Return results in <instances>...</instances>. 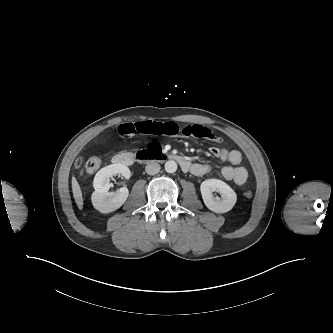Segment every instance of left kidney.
<instances>
[{
	"instance_id": "5707ae66",
	"label": "left kidney",
	"mask_w": 333,
	"mask_h": 333,
	"mask_svg": "<svg viewBox=\"0 0 333 333\" xmlns=\"http://www.w3.org/2000/svg\"><path fill=\"white\" fill-rule=\"evenodd\" d=\"M201 195L205 206L215 213L230 211L237 200L235 191L225 182L218 179H207L201 183ZM219 192L221 198L214 197L213 192Z\"/></svg>"
}]
</instances>
